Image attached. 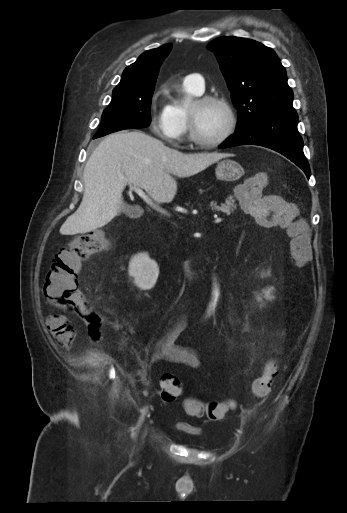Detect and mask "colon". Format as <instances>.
<instances>
[{"instance_id":"5ec220e1","label":"colon","mask_w":347,"mask_h":513,"mask_svg":"<svg viewBox=\"0 0 347 513\" xmlns=\"http://www.w3.org/2000/svg\"><path fill=\"white\" fill-rule=\"evenodd\" d=\"M263 176L251 177L247 182L237 186L238 200L244 210L253 214L256 222L264 227L278 226L287 230L291 238V253L296 264L303 266L311 259V249L308 242L306 227L298 218L296 207L284 202L279 196L262 195ZM108 240L99 232H90L79 236L69 245L61 248L55 255L51 268L44 282L45 297L57 307L75 311L81 317V324L89 328L92 339H102V320L96 312L93 300H85L78 289V273L82 261L105 249ZM277 374V366L269 362L264 373L252 384V393L258 398L266 397ZM161 397L166 402L178 401L183 395V385L180 379L171 373H165L160 380ZM231 401H213L203 403L195 399L185 402L184 408L192 417H207L218 421L225 417L232 408Z\"/></svg>"}]
</instances>
